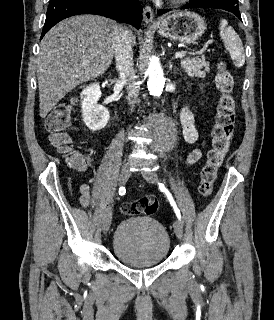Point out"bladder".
<instances>
[{
    "mask_svg": "<svg viewBox=\"0 0 274 320\" xmlns=\"http://www.w3.org/2000/svg\"><path fill=\"white\" fill-rule=\"evenodd\" d=\"M170 247L166 228L147 216H133L120 221L113 234L112 250L116 259L131 267L162 263Z\"/></svg>",
    "mask_w": 274,
    "mask_h": 320,
    "instance_id": "obj_1",
    "label": "bladder"
}]
</instances>
